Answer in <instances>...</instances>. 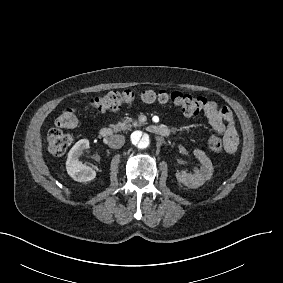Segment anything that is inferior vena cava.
<instances>
[{
	"label": "inferior vena cava",
	"mask_w": 283,
	"mask_h": 283,
	"mask_svg": "<svg viewBox=\"0 0 283 283\" xmlns=\"http://www.w3.org/2000/svg\"><path fill=\"white\" fill-rule=\"evenodd\" d=\"M125 143V137L123 135H112L108 139V146L113 149L121 148Z\"/></svg>",
	"instance_id": "602c4592"
}]
</instances>
